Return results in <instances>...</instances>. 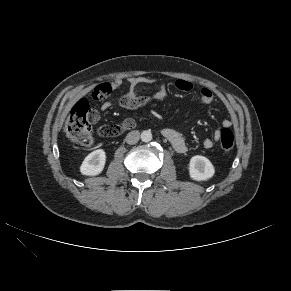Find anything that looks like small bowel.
<instances>
[{
    "label": "small bowel",
    "instance_id": "1",
    "mask_svg": "<svg viewBox=\"0 0 291 291\" xmlns=\"http://www.w3.org/2000/svg\"><path fill=\"white\" fill-rule=\"evenodd\" d=\"M154 80L151 78L147 77H131L128 79V84H129V90L126 94L120 96L117 100L118 104L120 107L124 109H129V110H134L141 108L145 105H147L152 99L153 100H162L165 95H166V88L164 85H160L158 90L155 92V94L152 97H148L145 95H139L137 93V87L140 84L143 83H153ZM123 83V80L121 78H116L114 81L110 83H104L101 84L97 87H105L107 89L106 96L110 95L113 91L118 89ZM175 87L183 92H188L191 91L193 88V84L186 80V79H177L175 81ZM105 96V97H106ZM104 97V98H105ZM214 100V94L212 90H210L207 87H204L200 90L199 93V103L203 105L210 104ZM112 106V101L111 100H105L101 104V110L106 111L110 109ZM97 114V112H96ZM98 119V114L97 118ZM231 126V121L230 120H224L223 121V127L228 128ZM162 134L165 138L168 139V141L171 143L173 148L179 152V153H184L187 150V144L183 138V135L180 131H178L175 128H164L162 130ZM220 137V131H216L214 134V140H218ZM203 147L205 149H210L213 147V140L212 139H205L203 141Z\"/></svg>",
    "mask_w": 291,
    "mask_h": 291
}]
</instances>
